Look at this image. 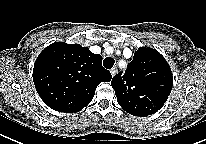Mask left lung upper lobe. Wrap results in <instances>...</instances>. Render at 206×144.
I'll return each instance as SVG.
<instances>
[{
    "instance_id": "obj_1",
    "label": "left lung upper lobe",
    "mask_w": 206,
    "mask_h": 144,
    "mask_svg": "<svg viewBox=\"0 0 206 144\" xmlns=\"http://www.w3.org/2000/svg\"><path fill=\"white\" fill-rule=\"evenodd\" d=\"M111 85L117 102L127 113L148 116L164 105L173 79L165 58L152 48L142 47L134 53L125 75H115Z\"/></svg>"
}]
</instances>
